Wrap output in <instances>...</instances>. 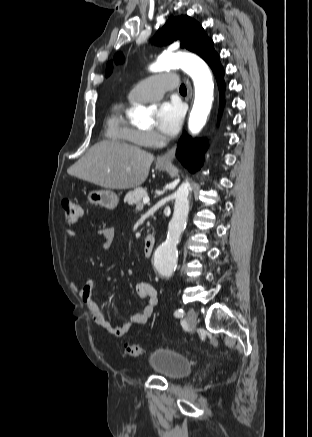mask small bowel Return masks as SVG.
<instances>
[{"mask_svg":"<svg viewBox=\"0 0 312 437\" xmlns=\"http://www.w3.org/2000/svg\"><path fill=\"white\" fill-rule=\"evenodd\" d=\"M66 235L73 237L76 233L72 230H68ZM97 236H101L104 240L103 248L109 250L115 240V229L113 227H104L96 232ZM97 287L96 280L94 278H87L82 287L76 288V291L83 302L88 308L94 324L100 329L116 337H122L125 335L134 325H145L153 316L156 306L158 304V293L153 285L148 282H139L136 285V293L140 299L146 301L141 312L131 315L125 324L118 326L111 323L107 319V314L103 309V306L95 301L93 298V291Z\"/></svg>","mask_w":312,"mask_h":437,"instance_id":"small-bowel-1","label":"small bowel"}]
</instances>
